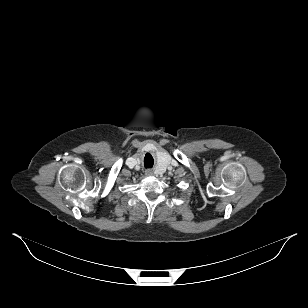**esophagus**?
Wrapping results in <instances>:
<instances>
[{
	"label": "esophagus",
	"mask_w": 308,
	"mask_h": 308,
	"mask_svg": "<svg viewBox=\"0 0 308 308\" xmlns=\"http://www.w3.org/2000/svg\"><path fill=\"white\" fill-rule=\"evenodd\" d=\"M145 175H146V176H152V175H153V171L150 170V169H147V170L145 171Z\"/></svg>",
	"instance_id": "obj_1"
}]
</instances>
